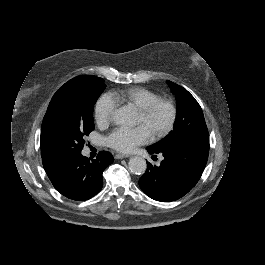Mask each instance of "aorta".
Listing matches in <instances>:
<instances>
[{
  "mask_svg": "<svg viewBox=\"0 0 265 265\" xmlns=\"http://www.w3.org/2000/svg\"><path fill=\"white\" fill-rule=\"evenodd\" d=\"M113 120L116 124H128L130 122V119L129 115L126 112V108L122 107L116 109L113 114ZM128 167L133 174L141 175L145 172L147 165L144 158L134 156L129 159Z\"/></svg>",
  "mask_w": 265,
  "mask_h": 265,
  "instance_id": "762f6f07",
  "label": "aorta"
}]
</instances>
